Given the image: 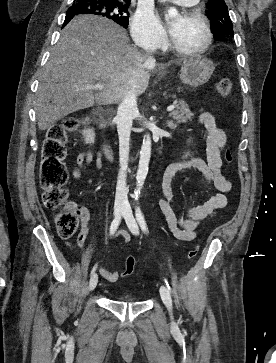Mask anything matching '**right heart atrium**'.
Segmentation results:
<instances>
[{"mask_svg":"<svg viewBox=\"0 0 276 363\" xmlns=\"http://www.w3.org/2000/svg\"><path fill=\"white\" fill-rule=\"evenodd\" d=\"M135 42L148 49H157L166 41V33L152 9L142 7L134 14L131 23Z\"/></svg>","mask_w":276,"mask_h":363,"instance_id":"right-heart-atrium-1","label":"right heart atrium"}]
</instances>
